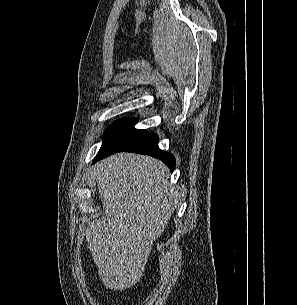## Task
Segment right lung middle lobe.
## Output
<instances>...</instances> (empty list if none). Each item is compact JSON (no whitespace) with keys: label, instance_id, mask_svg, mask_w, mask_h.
I'll use <instances>...</instances> for the list:
<instances>
[{"label":"right lung middle lobe","instance_id":"obj_1","mask_svg":"<svg viewBox=\"0 0 297 305\" xmlns=\"http://www.w3.org/2000/svg\"><path fill=\"white\" fill-rule=\"evenodd\" d=\"M137 121V118H124L114 122L106 130L101 149L127 147L143 138L148 132L135 129Z\"/></svg>","mask_w":297,"mask_h":305}]
</instances>
